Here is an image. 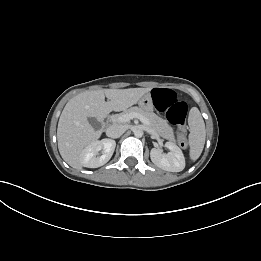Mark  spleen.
<instances>
[{
    "mask_svg": "<svg viewBox=\"0 0 261 261\" xmlns=\"http://www.w3.org/2000/svg\"><path fill=\"white\" fill-rule=\"evenodd\" d=\"M190 134H189V145H190V159L196 161L204 148L205 144V124L203 118L197 108L191 110L189 116Z\"/></svg>",
    "mask_w": 261,
    "mask_h": 261,
    "instance_id": "spleen-1",
    "label": "spleen"
}]
</instances>
